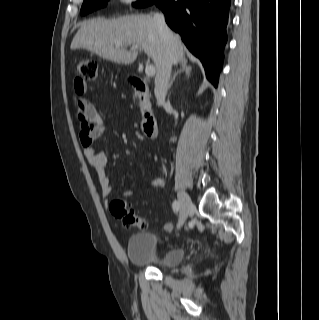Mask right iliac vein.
I'll list each match as a JSON object with an SVG mask.
<instances>
[{
  "label": "right iliac vein",
  "instance_id": "63e3f726",
  "mask_svg": "<svg viewBox=\"0 0 319 320\" xmlns=\"http://www.w3.org/2000/svg\"><path fill=\"white\" fill-rule=\"evenodd\" d=\"M178 200L181 207V217L178 223V227L180 228L183 226L188 215L193 211L194 207L190 197L184 191L178 192Z\"/></svg>",
  "mask_w": 319,
  "mask_h": 320
}]
</instances>
